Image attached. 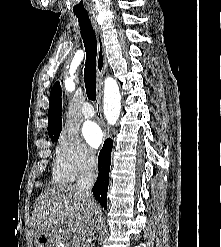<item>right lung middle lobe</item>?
Returning a JSON list of instances; mask_svg holds the SVG:
<instances>
[{"label":"right lung middle lobe","mask_w":221,"mask_h":247,"mask_svg":"<svg viewBox=\"0 0 221 247\" xmlns=\"http://www.w3.org/2000/svg\"><path fill=\"white\" fill-rule=\"evenodd\" d=\"M58 138H59V136L54 137V138H51V140H52V142L54 143V142H56V141L58 140Z\"/></svg>","instance_id":"1"}]
</instances>
